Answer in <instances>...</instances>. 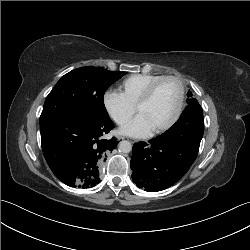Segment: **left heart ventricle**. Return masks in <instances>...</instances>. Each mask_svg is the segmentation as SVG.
<instances>
[{
    "label": "left heart ventricle",
    "mask_w": 250,
    "mask_h": 250,
    "mask_svg": "<svg viewBox=\"0 0 250 250\" xmlns=\"http://www.w3.org/2000/svg\"><path fill=\"white\" fill-rule=\"evenodd\" d=\"M179 92L178 83L167 80L160 84L151 99L138 109V114L146 119L152 131L171 119L176 110Z\"/></svg>",
    "instance_id": "b2bd125f"
}]
</instances>
